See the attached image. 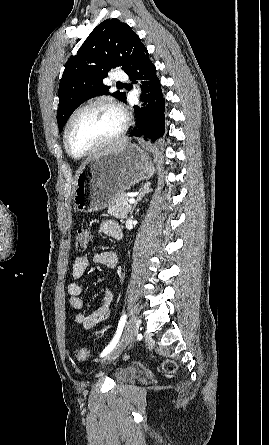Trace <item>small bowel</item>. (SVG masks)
Here are the masks:
<instances>
[{
  "label": "small bowel",
  "mask_w": 269,
  "mask_h": 445,
  "mask_svg": "<svg viewBox=\"0 0 269 445\" xmlns=\"http://www.w3.org/2000/svg\"><path fill=\"white\" fill-rule=\"evenodd\" d=\"M100 230L103 234L113 239H120L122 237V232L119 225L113 220L102 221L100 224ZM92 258L95 262L108 268H115L117 265V255L112 251L95 253L93 254ZM88 265L89 259L87 256H78L75 258L72 266L73 280L68 285V294L70 306L76 310H79L74 317L75 322L83 325V327L86 329H92L104 322L109 316L114 304L115 293L110 287L106 288L104 291L103 304L98 309L92 313L82 311L85 303L81 297L83 288L81 280Z\"/></svg>",
  "instance_id": "obj_1"
}]
</instances>
